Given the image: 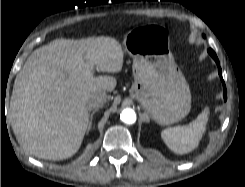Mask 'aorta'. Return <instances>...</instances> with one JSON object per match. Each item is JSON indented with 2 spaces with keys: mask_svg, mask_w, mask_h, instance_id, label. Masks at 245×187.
Listing matches in <instances>:
<instances>
[{
  "mask_svg": "<svg viewBox=\"0 0 245 187\" xmlns=\"http://www.w3.org/2000/svg\"><path fill=\"white\" fill-rule=\"evenodd\" d=\"M120 119L125 124L131 125L136 122V114L133 109L127 108L122 111L120 114Z\"/></svg>",
  "mask_w": 245,
  "mask_h": 187,
  "instance_id": "obj_1",
  "label": "aorta"
}]
</instances>
